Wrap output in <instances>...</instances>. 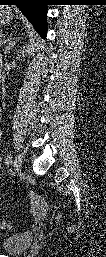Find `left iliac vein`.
<instances>
[{"mask_svg":"<svg viewBox=\"0 0 106 257\" xmlns=\"http://www.w3.org/2000/svg\"><path fill=\"white\" fill-rule=\"evenodd\" d=\"M14 170L16 173H20L21 172V165H20V157H16L14 160Z\"/></svg>","mask_w":106,"mask_h":257,"instance_id":"left-iliac-vein-1","label":"left iliac vein"}]
</instances>
